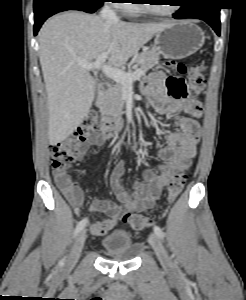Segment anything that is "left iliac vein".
<instances>
[{
    "instance_id": "obj_1",
    "label": "left iliac vein",
    "mask_w": 246,
    "mask_h": 300,
    "mask_svg": "<svg viewBox=\"0 0 246 300\" xmlns=\"http://www.w3.org/2000/svg\"><path fill=\"white\" fill-rule=\"evenodd\" d=\"M149 243L155 251V254L160 263L167 268L172 267V262L162 244L159 237L155 233L149 235Z\"/></svg>"
}]
</instances>
